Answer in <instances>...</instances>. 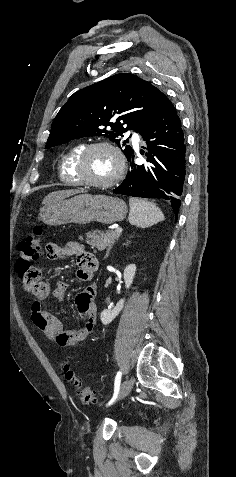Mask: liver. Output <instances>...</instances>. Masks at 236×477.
<instances>
[{
    "instance_id": "liver-1",
    "label": "liver",
    "mask_w": 236,
    "mask_h": 477,
    "mask_svg": "<svg viewBox=\"0 0 236 477\" xmlns=\"http://www.w3.org/2000/svg\"><path fill=\"white\" fill-rule=\"evenodd\" d=\"M83 192L82 190H62L48 194L42 201L44 206L63 201L65 198Z\"/></svg>"
}]
</instances>
